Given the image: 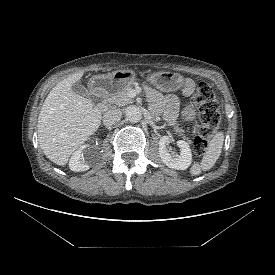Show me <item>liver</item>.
I'll use <instances>...</instances> for the list:
<instances>
[{
	"instance_id": "obj_1",
	"label": "liver",
	"mask_w": 275,
	"mask_h": 275,
	"mask_svg": "<svg viewBox=\"0 0 275 275\" xmlns=\"http://www.w3.org/2000/svg\"><path fill=\"white\" fill-rule=\"evenodd\" d=\"M84 72L72 74L47 95L38 116V141L46 157L57 165L67 164L71 154L94 134L101 124V110L72 92Z\"/></svg>"
}]
</instances>
